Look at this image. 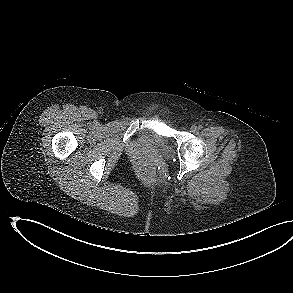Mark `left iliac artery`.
I'll list each match as a JSON object with an SVG mask.
<instances>
[{
  "label": "left iliac artery",
  "instance_id": "1",
  "mask_svg": "<svg viewBox=\"0 0 293 293\" xmlns=\"http://www.w3.org/2000/svg\"><path fill=\"white\" fill-rule=\"evenodd\" d=\"M202 128H203V126H202V125H199V126H198V129H199V130H201Z\"/></svg>",
  "mask_w": 293,
  "mask_h": 293
}]
</instances>
